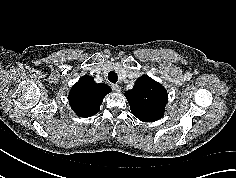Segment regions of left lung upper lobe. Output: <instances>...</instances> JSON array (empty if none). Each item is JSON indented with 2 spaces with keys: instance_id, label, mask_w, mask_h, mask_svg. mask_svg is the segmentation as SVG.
<instances>
[{
  "instance_id": "obj_1",
  "label": "left lung upper lobe",
  "mask_w": 236,
  "mask_h": 178,
  "mask_svg": "<svg viewBox=\"0 0 236 178\" xmlns=\"http://www.w3.org/2000/svg\"><path fill=\"white\" fill-rule=\"evenodd\" d=\"M132 114L143 122H153L163 116L168 99L166 89L147 75H142L133 89L126 91Z\"/></svg>"
}]
</instances>
